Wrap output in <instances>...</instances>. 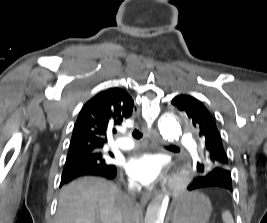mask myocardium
I'll return each instance as SVG.
<instances>
[{
  "instance_id": "f54148a6",
  "label": "myocardium",
  "mask_w": 267,
  "mask_h": 223,
  "mask_svg": "<svg viewBox=\"0 0 267 223\" xmlns=\"http://www.w3.org/2000/svg\"><path fill=\"white\" fill-rule=\"evenodd\" d=\"M185 183H186V176L184 174L180 175L175 181V185L177 187H183Z\"/></svg>"
}]
</instances>
